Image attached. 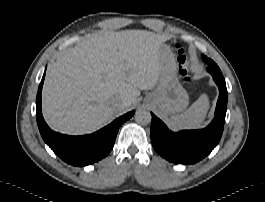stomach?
I'll list each match as a JSON object with an SVG mask.
<instances>
[{"label": "stomach", "mask_w": 265, "mask_h": 202, "mask_svg": "<svg viewBox=\"0 0 265 202\" xmlns=\"http://www.w3.org/2000/svg\"><path fill=\"white\" fill-rule=\"evenodd\" d=\"M159 54L163 67L159 84L151 95V101L163 114L182 112L188 106L189 96L178 80L174 55L166 44L160 47Z\"/></svg>", "instance_id": "1"}]
</instances>
